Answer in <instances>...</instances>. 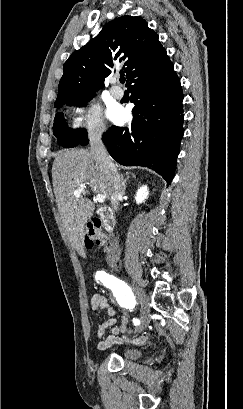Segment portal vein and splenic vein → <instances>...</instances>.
I'll use <instances>...</instances> for the list:
<instances>
[{
  "instance_id": "1",
  "label": "portal vein and splenic vein",
  "mask_w": 243,
  "mask_h": 409,
  "mask_svg": "<svg viewBox=\"0 0 243 409\" xmlns=\"http://www.w3.org/2000/svg\"><path fill=\"white\" fill-rule=\"evenodd\" d=\"M82 193H85V189L83 186L74 191V195L77 197H79ZM95 200L99 203H103L105 201V196L103 194H97Z\"/></svg>"
}]
</instances>
